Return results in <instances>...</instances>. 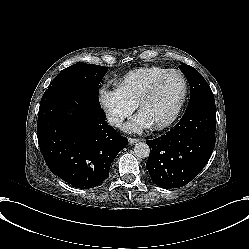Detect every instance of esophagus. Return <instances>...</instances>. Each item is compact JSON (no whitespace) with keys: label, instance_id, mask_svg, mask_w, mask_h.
I'll use <instances>...</instances> for the list:
<instances>
[{"label":"esophagus","instance_id":"esophagus-1","mask_svg":"<svg viewBox=\"0 0 249 249\" xmlns=\"http://www.w3.org/2000/svg\"><path fill=\"white\" fill-rule=\"evenodd\" d=\"M141 139L139 138H129V145H133L134 143L139 142Z\"/></svg>","mask_w":249,"mask_h":249}]
</instances>
